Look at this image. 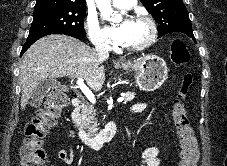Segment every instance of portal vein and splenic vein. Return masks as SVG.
<instances>
[{"mask_svg": "<svg viewBox=\"0 0 227 166\" xmlns=\"http://www.w3.org/2000/svg\"><path fill=\"white\" fill-rule=\"evenodd\" d=\"M76 84L78 86V88L82 91V93L86 96V98L92 103L95 104L96 103V99L94 94L92 93V91L84 84L83 79L82 78H78L76 81ZM123 98H119L118 102H122Z\"/></svg>", "mask_w": 227, "mask_h": 166, "instance_id": "18ae733b", "label": "portal vein and splenic vein"}]
</instances>
